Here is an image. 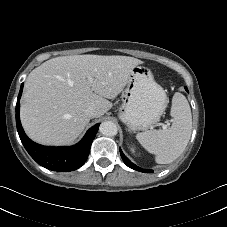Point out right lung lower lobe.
<instances>
[{"label": "right lung lower lobe", "mask_w": 227, "mask_h": 227, "mask_svg": "<svg viewBox=\"0 0 227 227\" xmlns=\"http://www.w3.org/2000/svg\"><path fill=\"white\" fill-rule=\"evenodd\" d=\"M23 85H21L16 104V125L19 137L29 155L41 166L53 171H73L82 166L89 155L90 147L96 136L99 125L90 128L83 139L70 147H50L33 142L25 134L19 117L20 103Z\"/></svg>", "instance_id": "1"}]
</instances>
